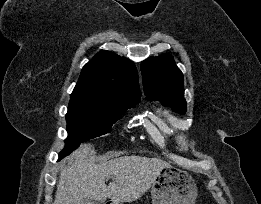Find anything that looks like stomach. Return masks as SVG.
I'll list each match as a JSON object with an SVG mask.
<instances>
[{
  "label": "stomach",
  "mask_w": 261,
  "mask_h": 204,
  "mask_svg": "<svg viewBox=\"0 0 261 204\" xmlns=\"http://www.w3.org/2000/svg\"><path fill=\"white\" fill-rule=\"evenodd\" d=\"M152 204H195L197 186L187 172L172 166L160 170L151 187Z\"/></svg>",
  "instance_id": "0dacf381"
}]
</instances>
